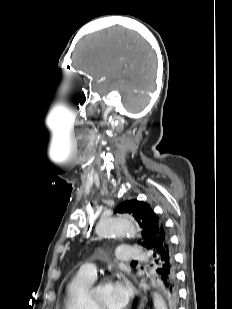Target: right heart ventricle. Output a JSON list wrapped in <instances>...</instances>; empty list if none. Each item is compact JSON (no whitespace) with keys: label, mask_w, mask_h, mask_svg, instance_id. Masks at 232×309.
I'll return each mask as SVG.
<instances>
[{"label":"right heart ventricle","mask_w":232,"mask_h":309,"mask_svg":"<svg viewBox=\"0 0 232 309\" xmlns=\"http://www.w3.org/2000/svg\"><path fill=\"white\" fill-rule=\"evenodd\" d=\"M95 277L78 272L68 283L65 292V309H94L90 292Z\"/></svg>","instance_id":"e07e8e85"}]
</instances>
